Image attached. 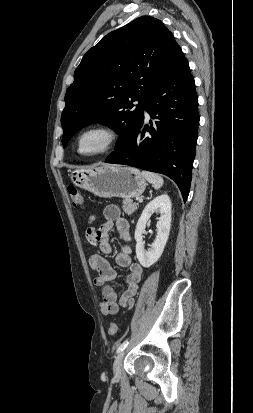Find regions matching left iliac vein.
Wrapping results in <instances>:
<instances>
[{"instance_id":"obj_1","label":"left iliac vein","mask_w":253,"mask_h":413,"mask_svg":"<svg viewBox=\"0 0 253 413\" xmlns=\"http://www.w3.org/2000/svg\"><path fill=\"white\" fill-rule=\"evenodd\" d=\"M124 355H125V352L120 351L119 354L115 358V361L113 364V373L116 378H118L121 374V368H122Z\"/></svg>"}]
</instances>
